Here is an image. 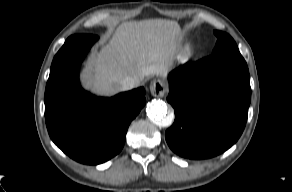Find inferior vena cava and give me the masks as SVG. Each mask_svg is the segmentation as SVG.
I'll return each instance as SVG.
<instances>
[{"mask_svg": "<svg viewBox=\"0 0 292 192\" xmlns=\"http://www.w3.org/2000/svg\"><path fill=\"white\" fill-rule=\"evenodd\" d=\"M121 84V89L122 90H130V89H133L135 87V80L130 77V76H127L125 78H123L120 82Z\"/></svg>", "mask_w": 292, "mask_h": 192, "instance_id": "602c4592", "label": "inferior vena cava"}]
</instances>
